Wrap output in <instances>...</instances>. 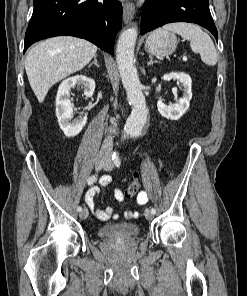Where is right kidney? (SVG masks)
<instances>
[{"mask_svg":"<svg viewBox=\"0 0 247 296\" xmlns=\"http://www.w3.org/2000/svg\"><path fill=\"white\" fill-rule=\"evenodd\" d=\"M76 85L84 87V95L86 97H92L95 90V81L85 75L69 77L60 84L56 96V116L60 128L67 137L78 135L87 122V116L83 115L72 120L73 109L69 96L70 89Z\"/></svg>","mask_w":247,"mask_h":296,"instance_id":"obj_1","label":"right kidney"}]
</instances>
